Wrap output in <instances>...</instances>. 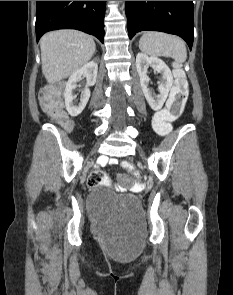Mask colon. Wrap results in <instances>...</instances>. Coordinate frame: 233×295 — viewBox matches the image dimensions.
I'll return each mask as SVG.
<instances>
[{
  "label": "colon",
  "mask_w": 233,
  "mask_h": 295,
  "mask_svg": "<svg viewBox=\"0 0 233 295\" xmlns=\"http://www.w3.org/2000/svg\"><path fill=\"white\" fill-rule=\"evenodd\" d=\"M174 76L175 82L167 104L163 109L156 112L153 119L155 130L163 136L171 133V124L181 115L188 98V81L183 70L178 67L175 68ZM62 90L63 85L58 83L46 87L41 93V105L52 120L56 121L64 128L70 129L71 122L68 119V115L61 101ZM122 165L135 177L139 176V172L132 163L124 161ZM109 184L110 182L105 172L94 170L89 174V187L109 186Z\"/></svg>",
  "instance_id": "1"
}]
</instances>
